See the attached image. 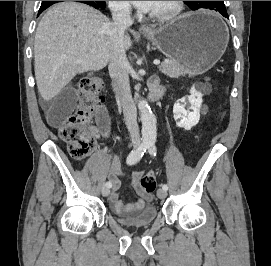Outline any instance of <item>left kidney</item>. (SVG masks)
Masks as SVG:
<instances>
[{"label":"left kidney","mask_w":271,"mask_h":266,"mask_svg":"<svg viewBox=\"0 0 271 266\" xmlns=\"http://www.w3.org/2000/svg\"><path fill=\"white\" fill-rule=\"evenodd\" d=\"M188 101V109H186L185 104L180 101L176 102L173 106L176 125L185 130H191L200 120V109L203 102L202 95L192 89L188 96Z\"/></svg>","instance_id":"obj_1"}]
</instances>
